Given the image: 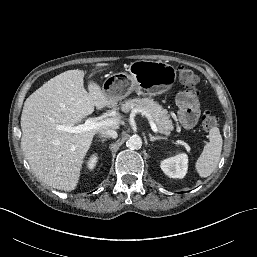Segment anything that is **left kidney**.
Here are the masks:
<instances>
[{
  "mask_svg": "<svg viewBox=\"0 0 257 257\" xmlns=\"http://www.w3.org/2000/svg\"><path fill=\"white\" fill-rule=\"evenodd\" d=\"M160 166L170 178H183L188 169V157L186 154H179L163 160Z\"/></svg>",
  "mask_w": 257,
  "mask_h": 257,
  "instance_id": "1",
  "label": "left kidney"
}]
</instances>
